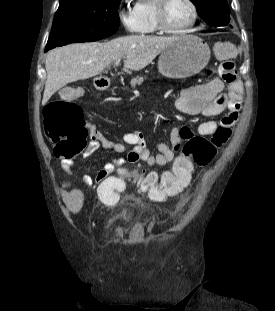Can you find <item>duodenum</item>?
<instances>
[{"mask_svg":"<svg viewBox=\"0 0 275 311\" xmlns=\"http://www.w3.org/2000/svg\"><path fill=\"white\" fill-rule=\"evenodd\" d=\"M94 83H95V88L99 92H104L108 87L109 78L108 77H95Z\"/></svg>","mask_w":275,"mask_h":311,"instance_id":"1","label":"duodenum"}]
</instances>
